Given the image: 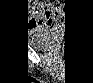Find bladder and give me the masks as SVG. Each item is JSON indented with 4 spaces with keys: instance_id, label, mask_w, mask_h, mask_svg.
<instances>
[{
    "instance_id": "obj_1",
    "label": "bladder",
    "mask_w": 93,
    "mask_h": 83,
    "mask_svg": "<svg viewBox=\"0 0 93 83\" xmlns=\"http://www.w3.org/2000/svg\"><path fill=\"white\" fill-rule=\"evenodd\" d=\"M33 35H35V31L32 32ZM40 40H43V35L39 38Z\"/></svg>"
}]
</instances>
